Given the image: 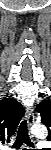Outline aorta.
I'll list each match as a JSON object with an SVG mask.
<instances>
[{
  "instance_id": "762f6f07",
  "label": "aorta",
  "mask_w": 51,
  "mask_h": 150,
  "mask_svg": "<svg viewBox=\"0 0 51 150\" xmlns=\"http://www.w3.org/2000/svg\"><path fill=\"white\" fill-rule=\"evenodd\" d=\"M31 133L39 138H46L47 128L42 124H36L32 126Z\"/></svg>"
}]
</instances>
